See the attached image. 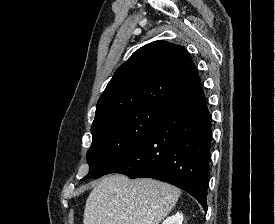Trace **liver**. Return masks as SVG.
<instances>
[{
	"mask_svg": "<svg viewBox=\"0 0 275 224\" xmlns=\"http://www.w3.org/2000/svg\"><path fill=\"white\" fill-rule=\"evenodd\" d=\"M181 191L154 179L114 174L96 183L84 210V224H159Z\"/></svg>",
	"mask_w": 275,
	"mask_h": 224,
	"instance_id": "1",
	"label": "liver"
}]
</instances>
